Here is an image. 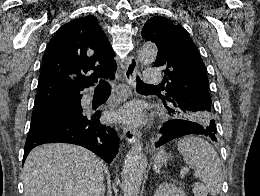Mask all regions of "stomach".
Here are the masks:
<instances>
[{"label": "stomach", "instance_id": "1", "mask_svg": "<svg viewBox=\"0 0 260 196\" xmlns=\"http://www.w3.org/2000/svg\"><path fill=\"white\" fill-rule=\"evenodd\" d=\"M166 158H170V156H166Z\"/></svg>", "mask_w": 260, "mask_h": 196}]
</instances>
